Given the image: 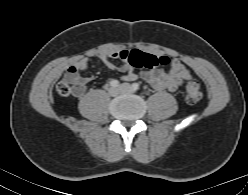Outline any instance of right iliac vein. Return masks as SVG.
<instances>
[{
	"instance_id": "right-iliac-vein-1",
	"label": "right iliac vein",
	"mask_w": 248,
	"mask_h": 195,
	"mask_svg": "<svg viewBox=\"0 0 248 195\" xmlns=\"http://www.w3.org/2000/svg\"><path fill=\"white\" fill-rule=\"evenodd\" d=\"M108 92L110 96L115 97L120 93V89L117 87H111Z\"/></svg>"
}]
</instances>
